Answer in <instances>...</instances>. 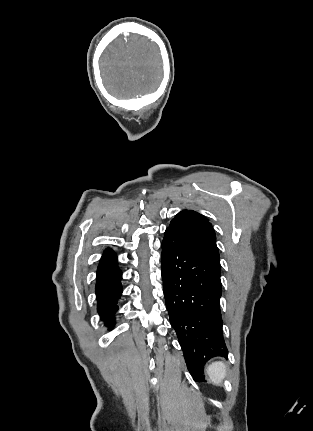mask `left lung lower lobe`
Listing matches in <instances>:
<instances>
[{"instance_id":"left-lung-lower-lobe-1","label":"left lung lower lobe","mask_w":313,"mask_h":431,"mask_svg":"<svg viewBox=\"0 0 313 431\" xmlns=\"http://www.w3.org/2000/svg\"><path fill=\"white\" fill-rule=\"evenodd\" d=\"M165 303L190 374L205 381V363L227 357L219 300L220 264L166 230L162 241Z\"/></svg>"}]
</instances>
